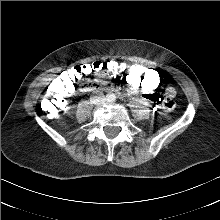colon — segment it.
I'll list each match as a JSON object with an SVG mask.
<instances>
[{"label": "colon", "instance_id": "obj_1", "mask_svg": "<svg viewBox=\"0 0 220 220\" xmlns=\"http://www.w3.org/2000/svg\"><path fill=\"white\" fill-rule=\"evenodd\" d=\"M107 75L106 64L99 61L66 70L55 78L52 87L41 98L45 113L58 114L63 109L64 101L70 93H75L80 89V79L85 81V85L102 87L105 85ZM123 77L131 88L151 93L147 96L148 101L151 102L148 108L151 115L162 118L173 109L174 90L166 89L163 93L155 92L163 84L162 76L156 69L147 68L141 64H132L124 69Z\"/></svg>", "mask_w": 220, "mask_h": 220}]
</instances>
